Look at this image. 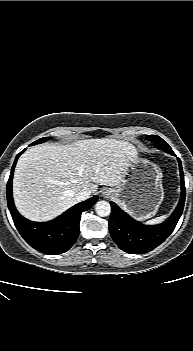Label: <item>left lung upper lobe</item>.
<instances>
[{
	"label": "left lung upper lobe",
	"instance_id": "obj_1",
	"mask_svg": "<svg viewBox=\"0 0 193 351\" xmlns=\"http://www.w3.org/2000/svg\"><path fill=\"white\" fill-rule=\"evenodd\" d=\"M147 139L152 141L158 149H161L164 152H167L169 154L173 153L171 147L159 136L157 135H148Z\"/></svg>",
	"mask_w": 193,
	"mask_h": 351
}]
</instances>
